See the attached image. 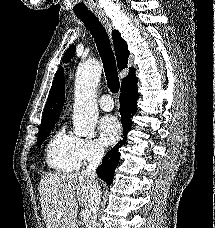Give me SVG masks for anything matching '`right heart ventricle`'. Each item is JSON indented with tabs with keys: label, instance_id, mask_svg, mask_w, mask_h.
Masks as SVG:
<instances>
[{
	"label": "right heart ventricle",
	"instance_id": "e07e8e85",
	"mask_svg": "<svg viewBox=\"0 0 215 228\" xmlns=\"http://www.w3.org/2000/svg\"><path fill=\"white\" fill-rule=\"evenodd\" d=\"M46 162L56 172L77 171L81 164L79 138L64 127L59 128L47 143Z\"/></svg>",
	"mask_w": 215,
	"mask_h": 228
}]
</instances>
